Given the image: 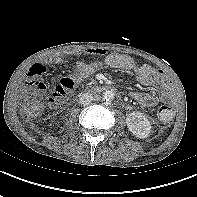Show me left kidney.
<instances>
[{
	"label": "left kidney",
	"mask_w": 197,
	"mask_h": 197,
	"mask_svg": "<svg viewBox=\"0 0 197 197\" xmlns=\"http://www.w3.org/2000/svg\"><path fill=\"white\" fill-rule=\"evenodd\" d=\"M128 129L138 138H147L151 132V124L148 118L141 112L134 111L127 115Z\"/></svg>",
	"instance_id": "left-kidney-1"
}]
</instances>
